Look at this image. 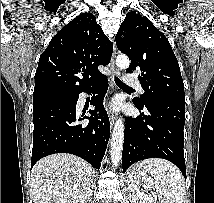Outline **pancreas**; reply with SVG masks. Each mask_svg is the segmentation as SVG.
<instances>
[{
    "label": "pancreas",
    "instance_id": "obj_1",
    "mask_svg": "<svg viewBox=\"0 0 214 203\" xmlns=\"http://www.w3.org/2000/svg\"><path fill=\"white\" fill-rule=\"evenodd\" d=\"M132 200L133 203H154L152 200H144L138 196L137 190H133L132 192Z\"/></svg>",
    "mask_w": 214,
    "mask_h": 203
}]
</instances>
